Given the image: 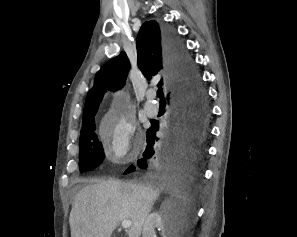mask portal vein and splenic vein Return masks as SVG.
I'll return each mask as SVG.
<instances>
[{
    "mask_svg": "<svg viewBox=\"0 0 297 237\" xmlns=\"http://www.w3.org/2000/svg\"><path fill=\"white\" fill-rule=\"evenodd\" d=\"M132 222L130 220H124L122 221V227L123 228H130Z\"/></svg>",
    "mask_w": 297,
    "mask_h": 237,
    "instance_id": "obj_1",
    "label": "portal vein and splenic vein"
}]
</instances>
